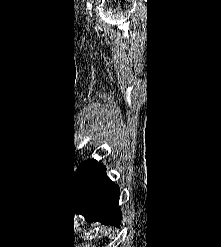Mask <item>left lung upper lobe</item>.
Returning <instances> with one entry per match:
<instances>
[{"label":"left lung upper lobe","mask_w":221,"mask_h":247,"mask_svg":"<svg viewBox=\"0 0 221 247\" xmlns=\"http://www.w3.org/2000/svg\"><path fill=\"white\" fill-rule=\"evenodd\" d=\"M73 173H74V170H73L72 173H71V177L73 176Z\"/></svg>","instance_id":"1"}]
</instances>
